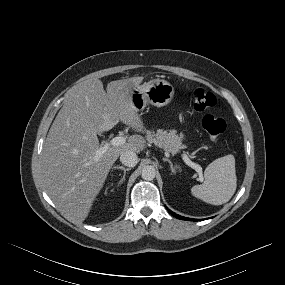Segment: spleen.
Wrapping results in <instances>:
<instances>
[{
	"label": "spleen",
	"mask_w": 285,
	"mask_h": 285,
	"mask_svg": "<svg viewBox=\"0 0 285 285\" xmlns=\"http://www.w3.org/2000/svg\"><path fill=\"white\" fill-rule=\"evenodd\" d=\"M204 182L192 187V194L212 205H222L234 195L237 187L235 158L229 154L210 163L204 171Z\"/></svg>",
	"instance_id": "obj_1"
}]
</instances>
